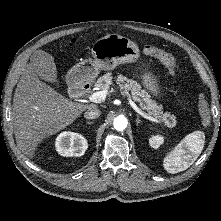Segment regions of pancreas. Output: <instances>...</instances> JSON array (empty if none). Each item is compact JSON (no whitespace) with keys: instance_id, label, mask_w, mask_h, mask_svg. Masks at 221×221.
<instances>
[{"instance_id":"pancreas-1","label":"pancreas","mask_w":221,"mask_h":221,"mask_svg":"<svg viewBox=\"0 0 221 221\" xmlns=\"http://www.w3.org/2000/svg\"><path fill=\"white\" fill-rule=\"evenodd\" d=\"M112 73H106L100 77L95 83V87L98 89H109L113 84ZM116 83L122 86L127 91H130L135 101L139 103V106L148 112L152 117L162 120L168 127H174L176 125V117L168 112H162V106L150 99V95L147 91L141 89V85L133 79H127V77L119 75L116 78Z\"/></svg>"}]
</instances>
